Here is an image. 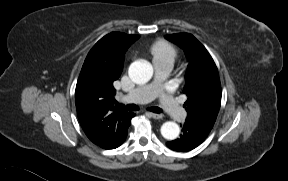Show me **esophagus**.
<instances>
[{"label":"esophagus","mask_w":288,"mask_h":181,"mask_svg":"<svg viewBox=\"0 0 288 181\" xmlns=\"http://www.w3.org/2000/svg\"><path fill=\"white\" fill-rule=\"evenodd\" d=\"M148 114H150L154 119H161L163 117L162 114H158V113L149 112Z\"/></svg>","instance_id":"esophagus-1"}]
</instances>
